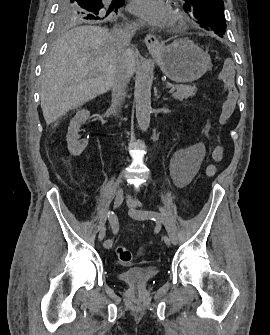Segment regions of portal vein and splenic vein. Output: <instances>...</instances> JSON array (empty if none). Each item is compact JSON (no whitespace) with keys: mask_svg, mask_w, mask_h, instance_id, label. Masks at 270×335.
I'll return each instance as SVG.
<instances>
[{"mask_svg":"<svg viewBox=\"0 0 270 335\" xmlns=\"http://www.w3.org/2000/svg\"><path fill=\"white\" fill-rule=\"evenodd\" d=\"M171 89H172V91H171V90H168V96H171V92H172L173 94L176 92V91H175V90H176V87L173 86Z\"/></svg>","mask_w":270,"mask_h":335,"instance_id":"1","label":"portal vein and splenic vein"}]
</instances>
